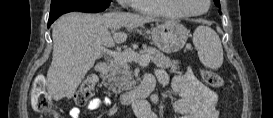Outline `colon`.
Masks as SVG:
<instances>
[{
    "label": "colon",
    "instance_id": "1",
    "mask_svg": "<svg viewBox=\"0 0 273 118\" xmlns=\"http://www.w3.org/2000/svg\"><path fill=\"white\" fill-rule=\"evenodd\" d=\"M202 79L210 86L219 88L223 85V79L216 73L209 70L201 71ZM98 78L96 75L88 76L74 95V100L78 105H85L91 98L95 87L97 86ZM31 103L34 109L53 113L55 107L51 96L46 91V83L43 78H36L31 90Z\"/></svg>",
    "mask_w": 273,
    "mask_h": 118
}]
</instances>
